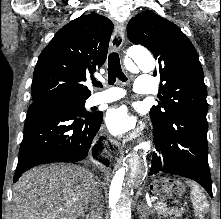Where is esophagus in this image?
Returning a JSON list of instances; mask_svg holds the SVG:
<instances>
[{"label": "esophagus", "mask_w": 221, "mask_h": 219, "mask_svg": "<svg viewBox=\"0 0 221 219\" xmlns=\"http://www.w3.org/2000/svg\"><path fill=\"white\" fill-rule=\"evenodd\" d=\"M125 35H124V27L120 24H117L114 29V33L111 37L110 48L113 51H120L124 44Z\"/></svg>", "instance_id": "obj_1"}]
</instances>
